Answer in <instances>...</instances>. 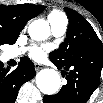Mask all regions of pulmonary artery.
Returning <instances> with one entry per match:
<instances>
[{
  "instance_id": "1",
  "label": "pulmonary artery",
  "mask_w": 103,
  "mask_h": 103,
  "mask_svg": "<svg viewBox=\"0 0 103 103\" xmlns=\"http://www.w3.org/2000/svg\"><path fill=\"white\" fill-rule=\"evenodd\" d=\"M51 32L55 37H61L65 34L67 30V18L65 16H61L57 19H50L49 20ZM18 55V51L13 50L10 51L9 57L14 58Z\"/></svg>"
}]
</instances>
